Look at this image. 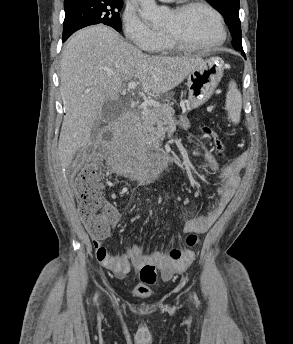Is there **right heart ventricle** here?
Listing matches in <instances>:
<instances>
[{"label":"right heart ventricle","mask_w":293,"mask_h":344,"mask_svg":"<svg viewBox=\"0 0 293 344\" xmlns=\"http://www.w3.org/2000/svg\"><path fill=\"white\" fill-rule=\"evenodd\" d=\"M178 51L179 49L173 46L167 38L161 34L158 44L150 52L155 55L167 56L176 54Z\"/></svg>","instance_id":"obj_1"}]
</instances>
